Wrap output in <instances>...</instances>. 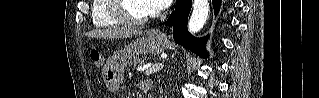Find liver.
<instances>
[{"label": "liver", "mask_w": 319, "mask_h": 98, "mask_svg": "<svg viewBox=\"0 0 319 98\" xmlns=\"http://www.w3.org/2000/svg\"><path fill=\"white\" fill-rule=\"evenodd\" d=\"M141 33H142L141 31L131 30L127 28H108V29H99L93 32H89L87 36L93 37V38L112 39V38H127V37L138 35Z\"/></svg>", "instance_id": "liver-1"}]
</instances>
